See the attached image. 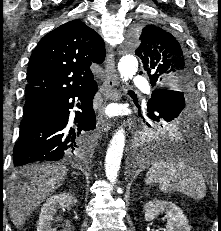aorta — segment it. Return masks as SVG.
I'll return each mask as SVG.
<instances>
[{
  "label": "aorta",
  "mask_w": 221,
  "mask_h": 231,
  "mask_svg": "<svg viewBox=\"0 0 221 231\" xmlns=\"http://www.w3.org/2000/svg\"><path fill=\"white\" fill-rule=\"evenodd\" d=\"M138 70V60L131 54L124 55L118 63V71L122 81L126 82L131 79ZM125 146V133L119 129L113 135L105 158V173L107 179L112 183H116L117 173L120 169L121 160ZM142 162L147 158H140Z\"/></svg>",
  "instance_id": "762f6f07"
}]
</instances>
